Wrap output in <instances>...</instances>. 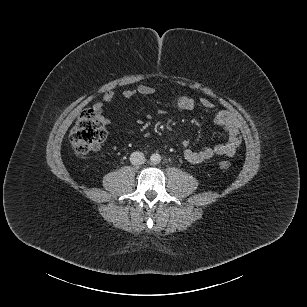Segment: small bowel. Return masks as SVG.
I'll list each match as a JSON object with an SVG mask.
<instances>
[{
  "mask_svg": "<svg viewBox=\"0 0 307 307\" xmlns=\"http://www.w3.org/2000/svg\"><path fill=\"white\" fill-rule=\"evenodd\" d=\"M155 93L154 87L148 84H140L134 89H126L122 91L121 96L125 99L132 98L136 95L149 96ZM117 94L113 91L106 92L101 101H96L92 109L103 124H110V119L105 115L104 104L112 103L116 100ZM197 106L205 110L213 111L215 105L207 98L193 99L188 96H180L176 100V107L182 111H191ZM213 124L222 127L227 134L228 139L213 147H205L200 150H194L190 147L189 140L185 139L182 142L184 151L183 155L187 162L198 164L209 160L215 156L232 157L241 144V135L239 126L236 120L226 111H213L211 114Z\"/></svg>",
  "mask_w": 307,
  "mask_h": 307,
  "instance_id": "1",
  "label": "small bowel"
}]
</instances>
